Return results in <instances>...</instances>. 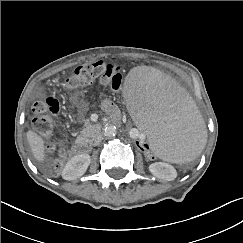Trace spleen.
Masks as SVG:
<instances>
[{
	"label": "spleen",
	"instance_id": "spleen-1",
	"mask_svg": "<svg viewBox=\"0 0 243 243\" xmlns=\"http://www.w3.org/2000/svg\"><path fill=\"white\" fill-rule=\"evenodd\" d=\"M123 90L136 124L162 158L178 163L201 153L207 141L205 123L183 88L144 66L128 74Z\"/></svg>",
	"mask_w": 243,
	"mask_h": 243
}]
</instances>
